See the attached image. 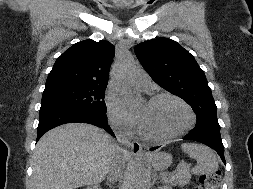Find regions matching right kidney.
Wrapping results in <instances>:
<instances>
[{
    "instance_id": "right-kidney-1",
    "label": "right kidney",
    "mask_w": 253,
    "mask_h": 189,
    "mask_svg": "<svg viewBox=\"0 0 253 189\" xmlns=\"http://www.w3.org/2000/svg\"><path fill=\"white\" fill-rule=\"evenodd\" d=\"M86 189H100L98 185H92L90 187H87Z\"/></svg>"
}]
</instances>
